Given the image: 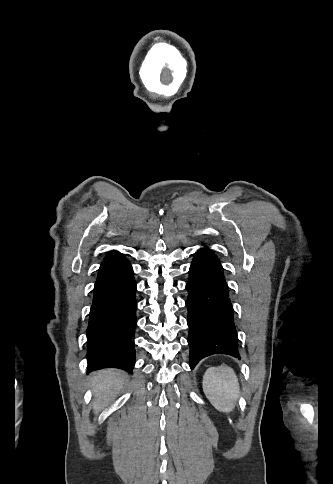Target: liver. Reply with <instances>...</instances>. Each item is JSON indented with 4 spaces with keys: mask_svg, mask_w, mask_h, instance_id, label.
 <instances>
[{
    "mask_svg": "<svg viewBox=\"0 0 333 484\" xmlns=\"http://www.w3.org/2000/svg\"><path fill=\"white\" fill-rule=\"evenodd\" d=\"M125 378L126 375L116 369H104L93 374L91 380L95 397L93 405L95 413H99L113 401L124 385Z\"/></svg>",
    "mask_w": 333,
    "mask_h": 484,
    "instance_id": "liver-1",
    "label": "liver"
}]
</instances>
